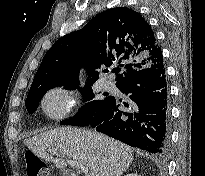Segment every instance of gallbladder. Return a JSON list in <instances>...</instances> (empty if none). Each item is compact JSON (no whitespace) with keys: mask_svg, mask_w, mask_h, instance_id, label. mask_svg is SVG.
Masks as SVG:
<instances>
[{"mask_svg":"<svg viewBox=\"0 0 205 176\" xmlns=\"http://www.w3.org/2000/svg\"><path fill=\"white\" fill-rule=\"evenodd\" d=\"M61 173L64 174V173H65V170H62ZM68 176H70V175L68 174Z\"/></svg>","mask_w":205,"mask_h":176,"instance_id":"1","label":"gallbladder"}]
</instances>
